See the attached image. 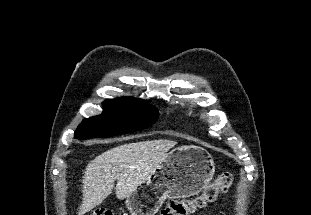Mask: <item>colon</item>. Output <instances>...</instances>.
I'll return each mask as SVG.
<instances>
[{
	"instance_id": "5ec220e1",
	"label": "colon",
	"mask_w": 311,
	"mask_h": 215,
	"mask_svg": "<svg viewBox=\"0 0 311 215\" xmlns=\"http://www.w3.org/2000/svg\"><path fill=\"white\" fill-rule=\"evenodd\" d=\"M232 183L230 173L220 174L207 188L193 198L171 200L159 215H192L227 192ZM90 215H113L110 210L98 209Z\"/></svg>"
}]
</instances>
